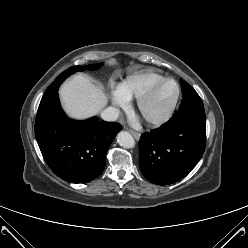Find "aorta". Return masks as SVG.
Returning a JSON list of instances; mask_svg holds the SVG:
<instances>
[{
    "instance_id": "aorta-1",
    "label": "aorta",
    "mask_w": 248,
    "mask_h": 248,
    "mask_svg": "<svg viewBox=\"0 0 248 248\" xmlns=\"http://www.w3.org/2000/svg\"><path fill=\"white\" fill-rule=\"evenodd\" d=\"M117 142L124 148H133L135 146V140L132 135L126 131H121L117 135Z\"/></svg>"
}]
</instances>
